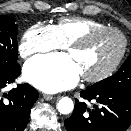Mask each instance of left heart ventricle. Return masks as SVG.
Returning <instances> with one entry per match:
<instances>
[{
	"mask_svg": "<svg viewBox=\"0 0 131 131\" xmlns=\"http://www.w3.org/2000/svg\"><path fill=\"white\" fill-rule=\"evenodd\" d=\"M122 47L121 38L114 33H103L92 38L83 47L69 49L82 75H95L110 66Z\"/></svg>",
	"mask_w": 131,
	"mask_h": 131,
	"instance_id": "b2bd125f",
	"label": "left heart ventricle"
}]
</instances>
